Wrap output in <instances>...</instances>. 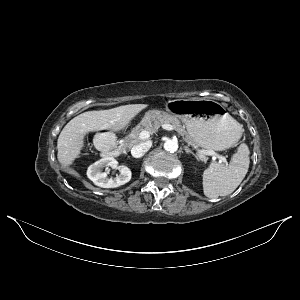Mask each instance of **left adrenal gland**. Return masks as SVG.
Returning a JSON list of instances; mask_svg holds the SVG:
<instances>
[{"mask_svg": "<svg viewBox=\"0 0 300 300\" xmlns=\"http://www.w3.org/2000/svg\"><path fill=\"white\" fill-rule=\"evenodd\" d=\"M185 152L188 154H192L197 160H199V157L190 150V148L188 146H184Z\"/></svg>", "mask_w": 300, "mask_h": 300, "instance_id": "left-adrenal-gland-1", "label": "left adrenal gland"}]
</instances>
